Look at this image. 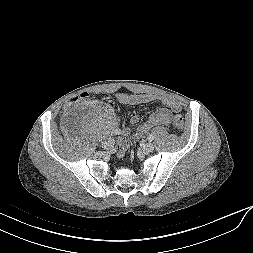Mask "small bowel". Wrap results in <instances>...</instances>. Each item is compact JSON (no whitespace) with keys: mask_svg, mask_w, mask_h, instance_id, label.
I'll list each match as a JSON object with an SVG mask.
<instances>
[{"mask_svg":"<svg viewBox=\"0 0 253 253\" xmlns=\"http://www.w3.org/2000/svg\"><path fill=\"white\" fill-rule=\"evenodd\" d=\"M118 101L124 105H139L144 103L160 100L162 107L149 115V117L140 124L134 134L135 139H141L149 130L161 125H168L170 122L171 114L181 111V104L178 100L171 97H160L154 94H125L121 93L117 96ZM139 117L133 115L130 118L131 124H137ZM116 135V134H115ZM130 128L123 129V136L118 139L119 152L118 157H122L129 145Z\"/></svg>","mask_w":253,"mask_h":253,"instance_id":"obj_1","label":"small bowel"}]
</instances>
